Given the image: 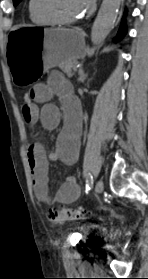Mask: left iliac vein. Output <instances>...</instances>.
Instances as JSON below:
<instances>
[{"label":"left iliac vein","instance_id":"obj_1","mask_svg":"<svg viewBox=\"0 0 148 279\" xmlns=\"http://www.w3.org/2000/svg\"><path fill=\"white\" fill-rule=\"evenodd\" d=\"M103 189H104L103 182L101 179H99L96 183L95 194L98 195V194L102 193Z\"/></svg>","mask_w":148,"mask_h":279}]
</instances>
